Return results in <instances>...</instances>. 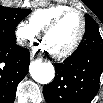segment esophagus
I'll list each match as a JSON object with an SVG mask.
<instances>
[{"label": "esophagus", "mask_w": 103, "mask_h": 103, "mask_svg": "<svg viewBox=\"0 0 103 103\" xmlns=\"http://www.w3.org/2000/svg\"><path fill=\"white\" fill-rule=\"evenodd\" d=\"M36 58H38V57L36 56V54H35L34 52H31V59L33 60V59H36Z\"/></svg>", "instance_id": "esophagus-1"}]
</instances>
